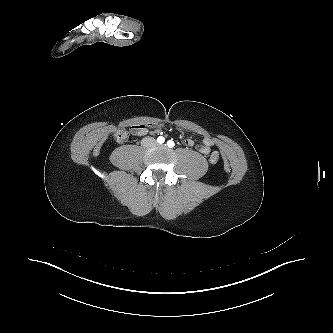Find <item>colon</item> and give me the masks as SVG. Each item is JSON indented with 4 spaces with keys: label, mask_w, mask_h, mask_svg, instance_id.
Returning <instances> with one entry per match:
<instances>
[{
    "label": "colon",
    "mask_w": 333,
    "mask_h": 333,
    "mask_svg": "<svg viewBox=\"0 0 333 333\" xmlns=\"http://www.w3.org/2000/svg\"><path fill=\"white\" fill-rule=\"evenodd\" d=\"M114 138L117 142L122 143L128 138V132L126 130H118L115 132ZM209 160L211 163H217L219 161V153L217 151L212 152Z\"/></svg>",
    "instance_id": "colon-1"
}]
</instances>
